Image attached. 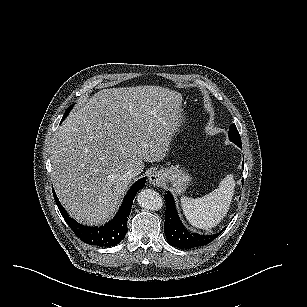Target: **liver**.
Listing matches in <instances>:
<instances>
[{"label":"liver","mask_w":307,"mask_h":307,"mask_svg":"<svg viewBox=\"0 0 307 307\" xmlns=\"http://www.w3.org/2000/svg\"><path fill=\"white\" fill-rule=\"evenodd\" d=\"M179 92L155 85L102 89L59 126L51 151L56 196L69 217L102 226L118 212L145 162L165 156L178 123Z\"/></svg>","instance_id":"1"}]
</instances>
